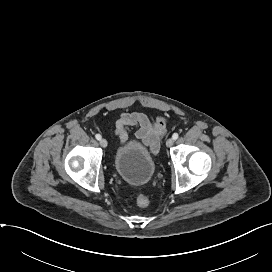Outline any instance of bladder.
Returning <instances> with one entry per match:
<instances>
[{"mask_svg":"<svg viewBox=\"0 0 272 272\" xmlns=\"http://www.w3.org/2000/svg\"><path fill=\"white\" fill-rule=\"evenodd\" d=\"M117 174L132 185H145L153 177L156 163L153 155L140 143L129 141L117 148L114 155Z\"/></svg>","mask_w":272,"mask_h":272,"instance_id":"bladder-1","label":"bladder"}]
</instances>
